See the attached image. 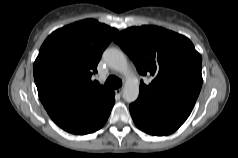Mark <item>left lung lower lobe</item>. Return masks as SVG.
I'll return each instance as SVG.
<instances>
[{
	"mask_svg": "<svg viewBox=\"0 0 238 158\" xmlns=\"http://www.w3.org/2000/svg\"><path fill=\"white\" fill-rule=\"evenodd\" d=\"M196 99L183 98L164 103H152L138 98L129 110L135 125L155 136L168 135L176 131L190 115Z\"/></svg>",
	"mask_w": 238,
	"mask_h": 158,
	"instance_id": "1",
	"label": "left lung lower lobe"
}]
</instances>
